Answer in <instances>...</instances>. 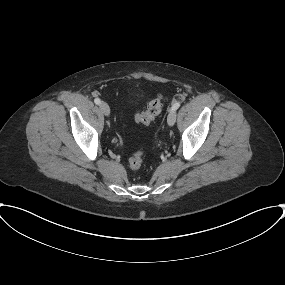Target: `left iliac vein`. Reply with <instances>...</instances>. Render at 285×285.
<instances>
[{"label": "left iliac vein", "instance_id": "obj_1", "mask_svg": "<svg viewBox=\"0 0 285 285\" xmlns=\"http://www.w3.org/2000/svg\"><path fill=\"white\" fill-rule=\"evenodd\" d=\"M167 122L169 126H173L176 122V110H170L168 117H167Z\"/></svg>", "mask_w": 285, "mask_h": 285}]
</instances>
